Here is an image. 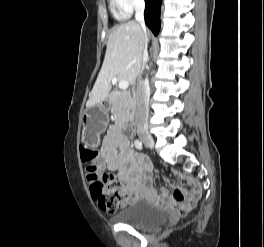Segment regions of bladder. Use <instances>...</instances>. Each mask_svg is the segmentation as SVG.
Instances as JSON below:
<instances>
[{
  "instance_id": "31cf9c89",
  "label": "bladder",
  "mask_w": 264,
  "mask_h": 247,
  "mask_svg": "<svg viewBox=\"0 0 264 247\" xmlns=\"http://www.w3.org/2000/svg\"><path fill=\"white\" fill-rule=\"evenodd\" d=\"M114 219L140 230H153L163 226L168 220V211L146 201L135 200L120 210Z\"/></svg>"
}]
</instances>
